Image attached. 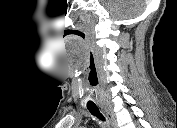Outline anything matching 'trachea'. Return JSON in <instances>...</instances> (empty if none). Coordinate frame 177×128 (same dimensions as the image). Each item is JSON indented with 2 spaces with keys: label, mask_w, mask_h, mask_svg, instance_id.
Instances as JSON below:
<instances>
[{
  "label": "trachea",
  "mask_w": 177,
  "mask_h": 128,
  "mask_svg": "<svg viewBox=\"0 0 177 128\" xmlns=\"http://www.w3.org/2000/svg\"><path fill=\"white\" fill-rule=\"evenodd\" d=\"M87 108L92 115L96 116L97 118H99L102 121L105 120L104 116L100 113L97 106H88Z\"/></svg>",
  "instance_id": "obj_1"
}]
</instances>
